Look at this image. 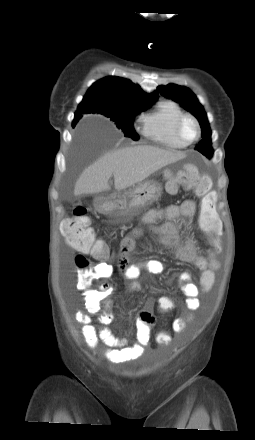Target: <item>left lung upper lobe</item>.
<instances>
[{"label":"left lung upper lobe","mask_w":255,"mask_h":440,"mask_svg":"<svg viewBox=\"0 0 255 440\" xmlns=\"http://www.w3.org/2000/svg\"><path fill=\"white\" fill-rule=\"evenodd\" d=\"M157 89L163 96L180 103L186 110L190 111L198 119L202 128L203 140L199 142L195 149L206 157L211 158L213 155L210 138L211 130L206 113L202 105L198 102L196 96L188 88L176 84L159 86Z\"/></svg>","instance_id":"5c2ea615"}]
</instances>
